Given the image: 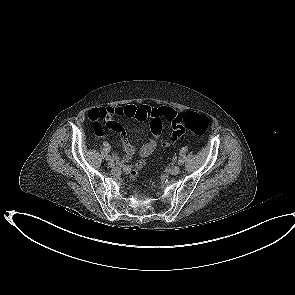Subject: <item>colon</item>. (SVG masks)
<instances>
[{"instance_id": "5ec220e1", "label": "colon", "mask_w": 295, "mask_h": 295, "mask_svg": "<svg viewBox=\"0 0 295 295\" xmlns=\"http://www.w3.org/2000/svg\"><path fill=\"white\" fill-rule=\"evenodd\" d=\"M172 124L179 132L185 129H188L192 131L193 133H195L196 135H203L206 133V131L209 128L210 120L208 116L204 114H199L197 112L189 111L185 113H178L175 116V120L174 122H172ZM157 147H158V142L154 138H149L147 142L143 143V146L141 147L142 158L135 164V166L130 171V176L132 178H136L138 176L140 170L145 165L144 158L151 157L153 154V150H156Z\"/></svg>"}]
</instances>
